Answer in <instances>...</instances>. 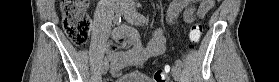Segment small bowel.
Returning <instances> with one entry per match:
<instances>
[{
	"instance_id": "1",
	"label": "small bowel",
	"mask_w": 279,
	"mask_h": 82,
	"mask_svg": "<svg viewBox=\"0 0 279 82\" xmlns=\"http://www.w3.org/2000/svg\"><path fill=\"white\" fill-rule=\"evenodd\" d=\"M195 0H174L168 9V22H173L181 13L184 22L191 24L196 17L203 19L212 6L205 7L204 0L197 8ZM205 8V11H202ZM112 41L106 46L111 73L116 75L124 68L137 67L148 59L161 55L166 42L160 33H156L146 47H143L138 31L130 26L121 25L112 32Z\"/></svg>"
}]
</instances>
